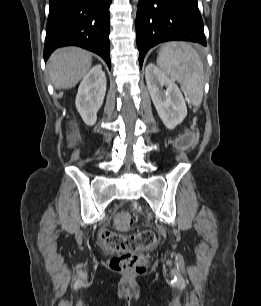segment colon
Returning a JSON list of instances; mask_svg holds the SVG:
<instances>
[{"mask_svg":"<svg viewBox=\"0 0 261 306\" xmlns=\"http://www.w3.org/2000/svg\"><path fill=\"white\" fill-rule=\"evenodd\" d=\"M194 140V134L188 132L180 136L176 144L182 149H187ZM133 222V216L127 211L118 212L114 219L117 230L121 232L131 229ZM101 237L106 249L122 252L110 260V268L113 271L139 274L147 270L148 262L146 256L137 251L147 249L157 242V236L153 230L146 229L132 234H118L103 230Z\"/></svg>","mask_w":261,"mask_h":306,"instance_id":"obj_1","label":"colon"}]
</instances>
